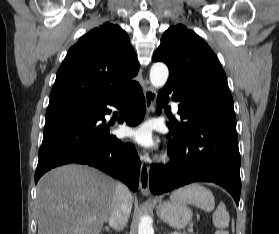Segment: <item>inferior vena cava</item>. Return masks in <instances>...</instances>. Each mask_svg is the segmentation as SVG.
Segmentation results:
<instances>
[{"instance_id":"1","label":"inferior vena cava","mask_w":279,"mask_h":234,"mask_svg":"<svg viewBox=\"0 0 279 234\" xmlns=\"http://www.w3.org/2000/svg\"><path fill=\"white\" fill-rule=\"evenodd\" d=\"M132 208V195L127 186L117 183L113 199L109 225L116 231L122 230L130 217Z\"/></svg>"}]
</instances>
